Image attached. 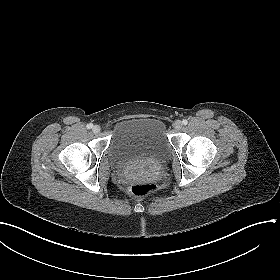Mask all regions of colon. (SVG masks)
I'll return each mask as SVG.
<instances>
[{
	"mask_svg": "<svg viewBox=\"0 0 280 280\" xmlns=\"http://www.w3.org/2000/svg\"><path fill=\"white\" fill-rule=\"evenodd\" d=\"M156 190L157 187L154 184L140 180L134 181L130 186L131 193L140 197L151 195Z\"/></svg>",
	"mask_w": 280,
	"mask_h": 280,
	"instance_id": "5ec220e1",
	"label": "colon"
}]
</instances>
